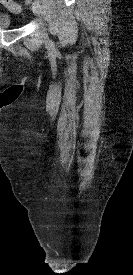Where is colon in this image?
<instances>
[{"mask_svg":"<svg viewBox=\"0 0 133 275\" xmlns=\"http://www.w3.org/2000/svg\"><path fill=\"white\" fill-rule=\"evenodd\" d=\"M8 8H9L11 11H13V12H19V10H20L19 5H17L16 3H14L13 0L10 1L9 5H8Z\"/></svg>","mask_w":133,"mask_h":275,"instance_id":"1","label":"colon"}]
</instances>
